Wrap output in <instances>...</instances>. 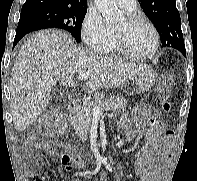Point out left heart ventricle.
Returning a JSON list of instances; mask_svg holds the SVG:
<instances>
[{
    "instance_id": "obj_1",
    "label": "left heart ventricle",
    "mask_w": 197,
    "mask_h": 181,
    "mask_svg": "<svg viewBox=\"0 0 197 181\" xmlns=\"http://www.w3.org/2000/svg\"><path fill=\"white\" fill-rule=\"evenodd\" d=\"M114 32L120 35L128 49L136 54H147L154 46V35L145 24L129 25L122 21Z\"/></svg>"
}]
</instances>
